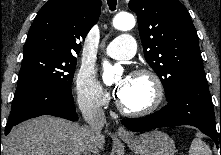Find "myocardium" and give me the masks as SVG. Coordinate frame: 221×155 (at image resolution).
Listing matches in <instances>:
<instances>
[{
  "instance_id": "obj_1",
  "label": "myocardium",
  "mask_w": 221,
  "mask_h": 155,
  "mask_svg": "<svg viewBox=\"0 0 221 155\" xmlns=\"http://www.w3.org/2000/svg\"><path fill=\"white\" fill-rule=\"evenodd\" d=\"M132 76H147L151 79L154 85V90H155V95L152 103L141 110H130L126 108L122 102L118 99L116 101L117 108L119 111L126 115V116H131V117H143V116H148L152 113H154L162 104L163 99H164V86L162 83V80L158 76L156 72H154L151 69L148 68H140L136 69L132 72Z\"/></svg>"
}]
</instances>
